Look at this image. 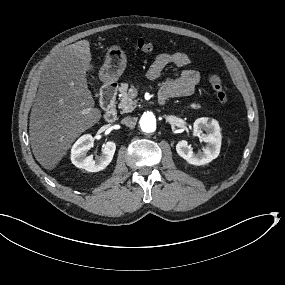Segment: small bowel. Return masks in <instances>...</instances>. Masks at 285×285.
<instances>
[{
	"label": "small bowel",
	"mask_w": 285,
	"mask_h": 285,
	"mask_svg": "<svg viewBox=\"0 0 285 285\" xmlns=\"http://www.w3.org/2000/svg\"><path fill=\"white\" fill-rule=\"evenodd\" d=\"M191 64V58L183 52H164L158 54L148 72L149 79L156 80L161 77L163 71L171 65L184 67ZM200 82V74L193 69H185L176 78L165 80L160 87L159 97L161 100L183 97L192 94Z\"/></svg>",
	"instance_id": "1"
}]
</instances>
